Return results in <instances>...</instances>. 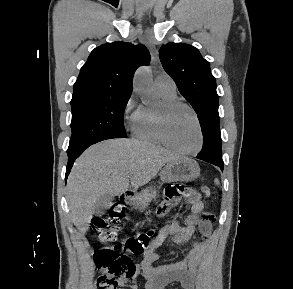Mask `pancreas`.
<instances>
[{"label":"pancreas","instance_id":"1","mask_svg":"<svg viewBox=\"0 0 293 289\" xmlns=\"http://www.w3.org/2000/svg\"><path fill=\"white\" fill-rule=\"evenodd\" d=\"M155 196L156 191L150 193L148 190H144L135 197V200L137 201L138 206H140V209H145Z\"/></svg>","mask_w":293,"mask_h":289}]
</instances>
